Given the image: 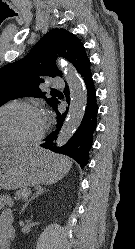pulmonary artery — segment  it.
<instances>
[{"instance_id":"e3ab8cb5","label":"pulmonary artery","mask_w":135,"mask_h":249,"mask_svg":"<svg viewBox=\"0 0 135 249\" xmlns=\"http://www.w3.org/2000/svg\"><path fill=\"white\" fill-rule=\"evenodd\" d=\"M51 86L53 88H60L64 86V82L62 81L60 77H55L51 81Z\"/></svg>"}]
</instances>
